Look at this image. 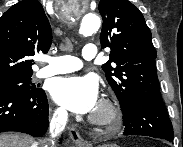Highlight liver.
I'll return each instance as SVG.
<instances>
[{"mask_svg": "<svg viewBox=\"0 0 183 147\" xmlns=\"http://www.w3.org/2000/svg\"><path fill=\"white\" fill-rule=\"evenodd\" d=\"M34 145V140L23 134H0V147H35Z\"/></svg>", "mask_w": 183, "mask_h": 147, "instance_id": "liver-1", "label": "liver"}]
</instances>
